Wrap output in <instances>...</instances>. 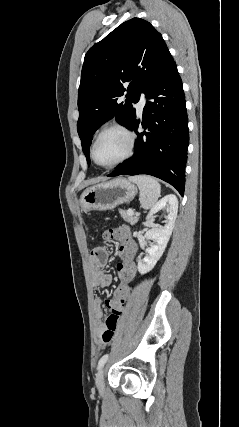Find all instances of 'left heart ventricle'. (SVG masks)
Listing matches in <instances>:
<instances>
[{"instance_id": "left-heart-ventricle-1", "label": "left heart ventricle", "mask_w": 239, "mask_h": 427, "mask_svg": "<svg viewBox=\"0 0 239 427\" xmlns=\"http://www.w3.org/2000/svg\"><path fill=\"white\" fill-rule=\"evenodd\" d=\"M128 148V139L120 131L104 133L95 147V158L98 163L109 165L124 156Z\"/></svg>"}]
</instances>
